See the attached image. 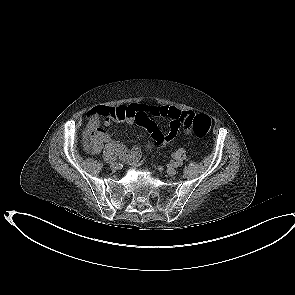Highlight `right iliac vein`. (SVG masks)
<instances>
[{
  "label": "right iliac vein",
  "mask_w": 295,
  "mask_h": 295,
  "mask_svg": "<svg viewBox=\"0 0 295 295\" xmlns=\"http://www.w3.org/2000/svg\"><path fill=\"white\" fill-rule=\"evenodd\" d=\"M111 168H112L113 170H117V169L119 168V164H118L117 162H112V163H111Z\"/></svg>",
  "instance_id": "1"
}]
</instances>
